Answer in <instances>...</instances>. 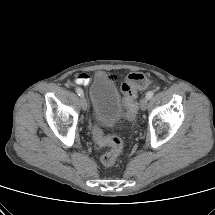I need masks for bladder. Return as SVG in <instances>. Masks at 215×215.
Here are the masks:
<instances>
[{"mask_svg":"<svg viewBox=\"0 0 215 215\" xmlns=\"http://www.w3.org/2000/svg\"><path fill=\"white\" fill-rule=\"evenodd\" d=\"M90 99L94 119L104 127H113L123 116V103L113 79L98 72L90 85Z\"/></svg>","mask_w":215,"mask_h":215,"instance_id":"1","label":"bladder"}]
</instances>
